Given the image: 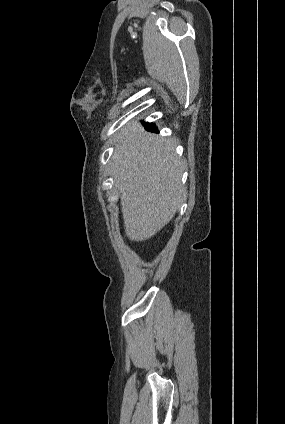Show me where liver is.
Here are the masks:
<instances>
[{
    "mask_svg": "<svg viewBox=\"0 0 285 424\" xmlns=\"http://www.w3.org/2000/svg\"><path fill=\"white\" fill-rule=\"evenodd\" d=\"M112 175L118 188L124 228L131 241L154 236L179 209L183 169L176 141L146 132L137 122L115 136Z\"/></svg>",
    "mask_w": 285,
    "mask_h": 424,
    "instance_id": "liver-1",
    "label": "liver"
}]
</instances>
